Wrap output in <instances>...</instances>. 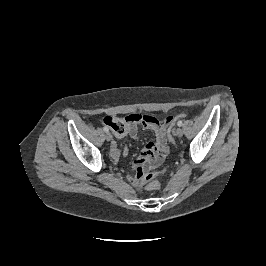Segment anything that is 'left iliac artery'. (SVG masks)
I'll return each instance as SVG.
<instances>
[{"label": "left iliac artery", "mask_w": 266, "mask_h": 266, "mask_svg": "<svg viewBox=\"0 0 266 266\" xmlns=\"http://www.w3.org/2000/svg\"><path fill=\"white\" fill-rule=\"evenodd\" d=\"M177 125H178L179 127H181V126L183 125V122H182V121H178Z\"/></svg>", "instance_id": "left-iliac-artery-1"}]
</instances>
